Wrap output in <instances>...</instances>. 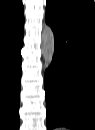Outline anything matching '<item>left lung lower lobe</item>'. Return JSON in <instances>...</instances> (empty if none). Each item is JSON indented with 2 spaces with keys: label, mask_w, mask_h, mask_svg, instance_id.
I'll use <instances>...</instances> for the list:
<instances>
[{
  "label": "left lung lower lobe",
  "mask_w": 95,
  "mask_h": 130,
  "mask_svg": "<svg viewBox=\"0 0 95 130\" xmlns=\"http://www.w3.org/2000/svg\"><path fill=\"white\" fill-rule=\"evenodd\" d=\"M55 54L44 83L47 128L95 130V25L46 14Z\"/></svg>",
  "instance_id": "obj_1"
}]
</instances>
